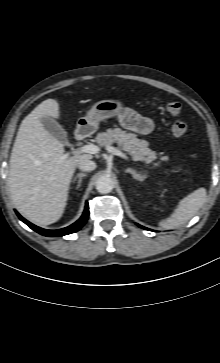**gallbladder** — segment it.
<instances>
[{"label": "gallbladder", "instance_id": "1", "mask_svg": "<svg viewBox=\"0 0 220 363\" xmlns=\"http://www.w3.org/2000/svg\"><path fill=\"white\" fill-rule=\"evenodd\" d=\"M41 123L43 124L44 128L54 138H56L60 143H62V144H67L68 143V137H67L66 131L55 120H53V119H51L49 117H43V118H41Z\"/></svg>", "mask_w": 220, "mask_h": 363}]
</instances>
